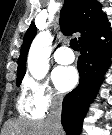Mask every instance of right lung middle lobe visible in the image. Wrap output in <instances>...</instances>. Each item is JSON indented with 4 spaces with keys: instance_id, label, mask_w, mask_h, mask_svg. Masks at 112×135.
<instances>
[{
    "instance_id": "dd1d6c3e",
    "label": "right lung middle lobe",
    "mask_w": 112,
    "mask_h": 135,
    "mask_svg": "<svg viewBox=\"0 0 112 135\" xmlns=\"http://www.w3.org/2000/svg\"><path fill=\"white\" fill-rule=\"evenodd\" d=\"M22 78L16 79V85L19 86L21 84Z\"/></svg>"
}]
</instances>
